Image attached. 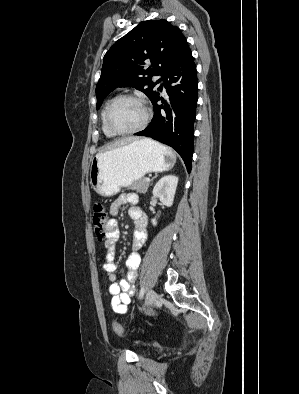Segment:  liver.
<instances>
[{"instance_id":"liver-1","label":"liver","mask_w":299,"mask_h":394,"mask_svg":"<svg viewBox=\"0 0 299 394\" xmlns=\"http://www.w3.org/2000/svg\"><path fill=\"white\" fill-rule=\"evenodd\" d=\"M135 140H136V138H133V137H129V138L123 139V140H121V141H118V142L113 143V144L110 146V149L115 148V147H118V146L126 145V144L131 143V142H133V141H135Z\"/></svg>"}]
</instances>
